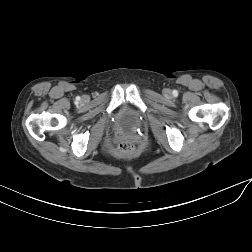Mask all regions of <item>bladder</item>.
<instances>
[{
    "mask_svg": "<svg viewBox=\"0 0 252 252\" xmlns=\"http://www.w3.org/2000/svg\"><path fill=\"white\" fill-rule=\"evenodd\" d=\"M119 119L122 127L126 129L135 127L139 122V117L130 110L123 111Z\"/></svg>",
    "mask_w": 252,
    "mask_h": 252,
    "instance_id": "1",
    "label": "bladder"
}]
</instances>
